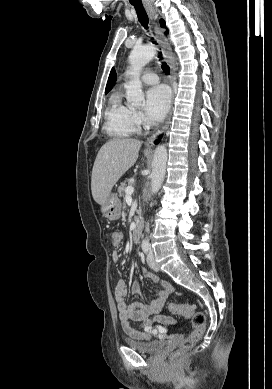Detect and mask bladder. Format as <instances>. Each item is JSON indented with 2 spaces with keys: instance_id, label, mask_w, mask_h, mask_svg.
<instances>
[{
  "instance_id": "1",
  "label": "bladder",
  "mask_w": 272,
  "mask_h": 389,
  "mask_svg": "<svg viewBox=\"0 0 272 389\" xmlns=\"http://www.w3.org/2000/svg\"><path fill=\"white\" fill-rule=\"evenodd\" d=\"M125 344L139 352L146 354H158L165 348V342L161 340L135 341L125 338Z\"/></svg>"
}]
</instances>
